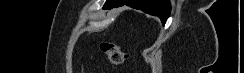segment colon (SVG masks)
<instances>
[{
	"label": "colon",
	"instance_id": "colon-1",
	"mask_svg": "<svg viewBox=\"0 0 244 73\" xmlns=\"http://www.w3.org/2000/svg\"><path fill=\"white\" fill-rule=\"evenodd\" d=\"M100 47L108 62L113 65H120L123 63L124 53L117 43L104 41L101 43Z\"/></svg>",
	"mask_w": 244,
	"mask_h": 73
}]
</instances>
